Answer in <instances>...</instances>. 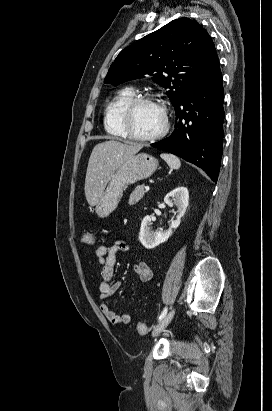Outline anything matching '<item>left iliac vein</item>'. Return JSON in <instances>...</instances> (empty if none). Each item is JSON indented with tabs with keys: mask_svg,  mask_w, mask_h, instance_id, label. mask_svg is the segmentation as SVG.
Instances as JSON below:
<instances>
[{
	"mask_svg": "<svg viewBox=\"0 0 272 411\" xmlns=\"http://www.w3.org/2000/svg\"><path fill=\"white\" fill-rule=\"evenodd\" d=\"M175 314V308L171 309V311L154 327L152 331V336H158L171 322L173 316Z\"/></svg>",
	"mask_w": 272,
	"mask_h": 411,
	"instance_id": "1",
	"label": "left iliac vein"
}]
</instances>
